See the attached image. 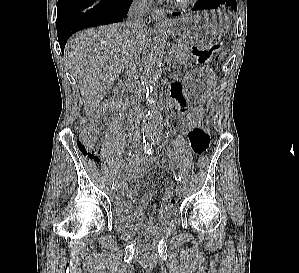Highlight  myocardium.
<instances>
[{
  "instance_id": "f54148a6",
  "label": "myocardium",
  "mask_w": 299,
  "mask_h": 273,
  "mask_svg": "<svg viewBox=\"0 0 299 273\" xmlns=\"http://www.w3.org/2000/svg\"><path fill=\"white\" fill-rule=\"evenodd\" d=\"M174 7L186 10L195 4L197 0H170Z\"/></svg>"
}]
</instances>
